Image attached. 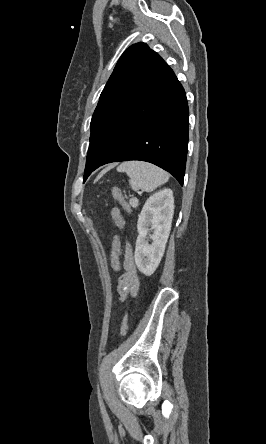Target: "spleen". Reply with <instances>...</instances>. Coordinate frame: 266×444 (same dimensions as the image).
Here are the masks:
<instances>
[{
    "mask_svg": "<svg viewBox=\"0 0 266 444\" xmlns=\"http://www.w3.org/2000/svg\"><path fill=\"white\" fill-rule=\"evenodd\" d=\"M117 171L126 172L130 178L129 184L135 191L141 189L152 192L169 180L167 172L153 164L142 161L124 162L117 168Z\"/></svg>",
    "mask_w": 266,
    "mask_h": 444,
    "instance_id": "3e777b00",
    "label": "spleen"
}]
</instances>
